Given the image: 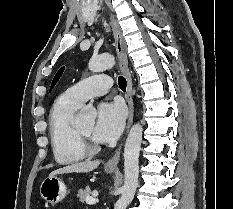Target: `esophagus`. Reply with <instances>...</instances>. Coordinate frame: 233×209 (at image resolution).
I'll use <instances>...</instances> for the list:
<instances>
[{"label": "esophagus", "mask_w": 233, "mask_h": 209, "mask_svg": "<svg viewBox=\"0 0 233 209\" xmlns=\"http://www.w3.org/2000/svg\"><path fill=\"white\" fill-rule=\"evenodd\" d=\"M110 24H111L113 34H114L116 52L119 58V66H120L122 73L125 75L126 81H127V90H126L125 98H126V101L128 104V110H129V116H128V122H127V128H126V131H128L133 122V117H134L132 77H131L130 69L128 67V58H127V53H126L125 41L122 36V32H121V29L118 23L112 16H110ZM121 149H122V144L116 150L113 157L107 161L106 167H109V168L117 167L118 162L120 160Z\"/></svg>", "instance_id": "obj_1"}]
</instances>
